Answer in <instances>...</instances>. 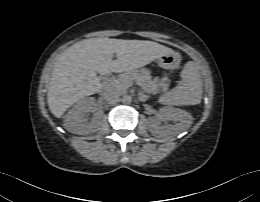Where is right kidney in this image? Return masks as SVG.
Here are the masks:
<instances>
[{
    "label": "right kidney",
    "instance_id": "ca27d5eb",
    "mask_svg": "<svg viewBox=\"0 0 260 202\" xmlns=\"http://www.w3.org/2000/svg\"><path fill=\"white\" fill-rule=\"evenodd\" d=\"M93 117L88 122V114ZM103 111L93 97L83 98L65 115L64 127L73 134L87 135L96 132L101 124Z\"/></svg>",
    "mask_w": 260,
    "mask_h": 202
}]
</instances>
